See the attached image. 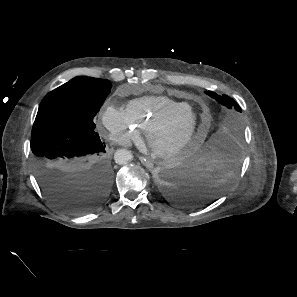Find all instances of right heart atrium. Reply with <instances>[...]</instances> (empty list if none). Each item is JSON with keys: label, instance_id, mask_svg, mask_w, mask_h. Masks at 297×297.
Listing matches in <instances>:
<instances>
[{"label": "right heart atrium", "instance_id": "1", "mask_svg": "<svg viewBox=\"0 0 297 297\" xmlns=\"http://www.w3.org/2000/svg\"><path fill=\"white\" fill-rule=\"evenodd\" d=\"M100 124L107 138L120 145H129L140 139V130L127 112L107 103L100 114Z\"/></svg>", "mask_w": 297, "mask_h": 297}]
</instances>
